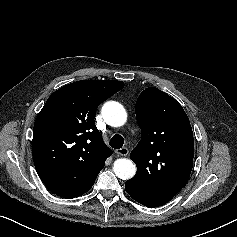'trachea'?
<instances>
[{"instance_id": "3493384b", "label": "trachea", "mask_w": 237, "mask_h": 237, "mask_svg": "<svg viewBox=\"0 0 237 237\" xmlns=\"http://www.w3.org/2000/svg\"><path fill=\"white\" fill-rule=\"evenodd\" d=\"M123 144H124V138L119 134H115L110 140V146L114 149L122 148Z\"/></svg>"}]
</instances>
